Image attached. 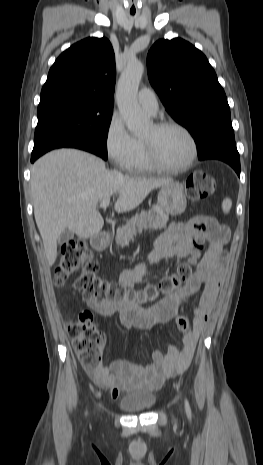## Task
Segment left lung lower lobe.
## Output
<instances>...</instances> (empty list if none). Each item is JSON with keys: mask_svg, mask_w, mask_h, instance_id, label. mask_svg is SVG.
Returning a JSON list of instances; mask_svg holds the SVG:
<instances>
[{"mask_svg": "<svg viewBox=\"0 0 263 465\" xmlns=\"http://www.w3.org/2000/svg\"><path fill=\"white\" fill-rule=\"evenodd\" d=\"M200 160L219 159L228 163L240 176V158L234 140H221L211 145L204 153L198 154Z\"/></svg>", "mask_w": 263, "mask_h": 465, "instance_id": "obj_1", "label": "left lung lower lobe"}]
</instances>
